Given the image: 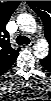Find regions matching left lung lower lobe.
<instances>
[{
    "label": "left lung lower lobe",
    "mask_w": 51,
    "mask_h": 101,
    "mask_svg": "<svg viewBox=\"0 0 51 101\" xmlns=\"http://www.w3.org/2000/svg\"><path fill=\"white\" fill-rule=\"evenodd\" d=\"M50 59L49 58H44L40 60V63L42 64V66L46 69V70H50L51 68V64H50Z\"/></svg>",
    "instance_id": "1"
}]
</instances>
